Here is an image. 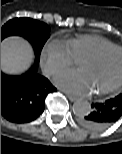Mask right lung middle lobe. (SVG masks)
Returning <instances> with one entry per match:
<instances>
[{
    "instance_id": "1",
    "label": "right lung middle lobe",
    "mask_w": 122,
    "mask_h": 154,
    "mask_svg": "<svg viewBox=\"0 0 122 154\" xmlns=\"http://www.w3.org/2000/svg\"><path fill=\"white\" fill-rule=\"evenodd\" d=\"M10 35L26 38L34 47L36 59L40 60L41 50L50 35V27L34 19L15 18L1 28V40Z\"/></svg>"
}]
</instances>
